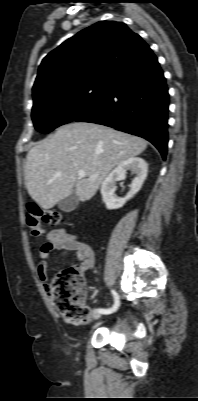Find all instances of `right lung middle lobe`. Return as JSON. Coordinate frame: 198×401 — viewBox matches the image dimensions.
Listing matches in <instances>:
<instances>
[{
    "instance_id": "right-lung-middle-lobe-1",
    "label": "right lung middle lobe",
    "mask_w": 198,
    "mask_h": 401,
    "mask_svg": "<svg viewBox=\"0 0 198 401\" xmlns=\"http://www.w3.org/2000/svg\"><path fill=\"white\" fill-rule=\"evenodd\" d=\"M108 84L88 82L38 97L32 109L36 130L49 133L60 125L74 121L100 100Z\"/></svg>"
}]
</instances>
